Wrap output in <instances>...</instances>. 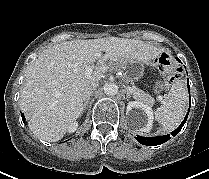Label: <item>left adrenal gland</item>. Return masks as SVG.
<instances>
[{
    "label": "left adrenal gland",
    "mask_w": 209,
    "mask_h": 179,
    "mask_svg": "<svg viewBox=\"0 0 209 179\" xmlns=\"http://www.w3.org/2000/svg\"><path fill=\"white\" fill-rule=\"evenodd\" d=\"M125 92H126V99L129 100L131 95H130L129 91L125 90Z\"/></svg>",
    "instance_id": "a2214340"
}]
</instances>
